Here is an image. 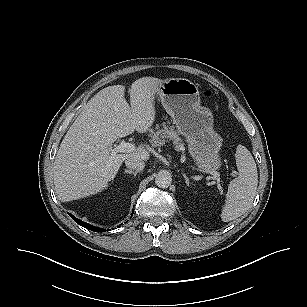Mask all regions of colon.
Segmentation results:
<instances>
[{"label":"colon","instance_id":"5ec220e1","mask_svg":"<svg viewBox=\"0 0 307 307\" xmlns=\"http://www.w3.org/2000/svg\"><path fill=\"white\" fill-rule=\"evenodd\" d=\"M205 94H206V95H209V94H210V92H209V91H205Z\"/></svg>","mask_w":307,"mask_h":307}]
</instances>
